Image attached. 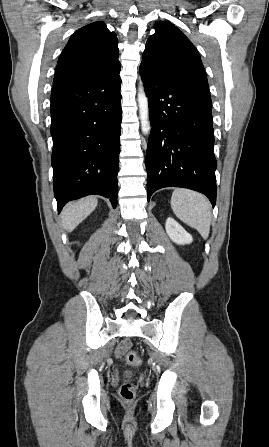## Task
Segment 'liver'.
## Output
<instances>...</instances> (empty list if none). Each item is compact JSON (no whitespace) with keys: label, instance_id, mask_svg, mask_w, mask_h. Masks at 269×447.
I'll return each mask as SVG.
<instances>
[{"label":"liver","instance_id":"1","mask_svg":"<svg viewBox=\"0 0 269 447\" xmlns=\"http://www.w3.org/2000/svg\"><path fill=\"white\" fill-rule=\"evenodd\" d=\"M97 204L98 200L97 198H93V196L82 198V200H77V202H70V204H67L64 210H62V227H64L66 231H73L76 225L83 222L87 216H90Z\"/></svg>","mask_w":269,"mask_h":447}]
</instances>
